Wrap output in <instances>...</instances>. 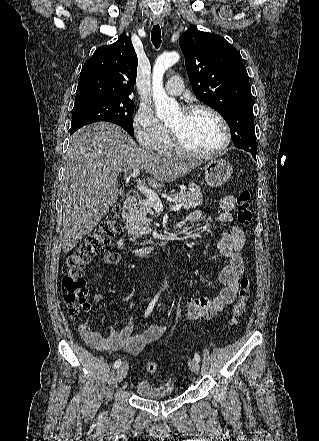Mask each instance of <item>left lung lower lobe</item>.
I'll return each mask as SVG.
<instances>
[{"label": "left lung lower lobe", "instance_id": "left-lung-lower-lobe-1", "mask_svg": "<svg viewBox=\"0 0 319 441\" xmlns=\"http://www.w3.org/2000/svg\"><path fill=\"white\" fill-rule=\"evenodd\" d=\"M253 158L256 159V154H252Z\"/></svg>", "mask_w": 319, "mask_h": 441}]
</instances>
